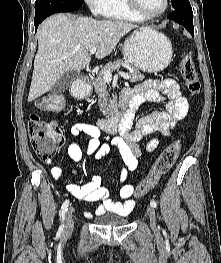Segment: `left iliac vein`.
<instances>
[{
	"label": "left iliac vein",
	"mask_w": 221,
	"mask_h": 263,
	"mask_svg": "<svg viewBox=\"0 0 221 263\" xmlns=\"http://www.w3.org/2000/svg\"><path fill=\"white\" fill-rule=\"evenodd\" d=\"M147 214L150 219V226L154 232L158 230L157 224H156V214H155V209L152 206H147Z\"/></svg>",
	"instance_id": "left-iliac-vein-1"
}]
</instances>
